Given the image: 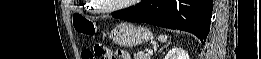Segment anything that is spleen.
<instances>
[{
	"mask_svg": "<svg viewBox=\"0 0 261 59\" xmlns=\"http://www.w3.org/2000/svg\"><path fill=\"white\" fill-rule=\"evenodd\" d=\"M167 36L166 35H159L158 36V40L161 41V42H166L167 41Z\"/></svg>",
	"mask_w": 261,
	"mask_h": 59,
	"instance_id": "3e777b00",
	"label": "spleen"
}]
</instances>
